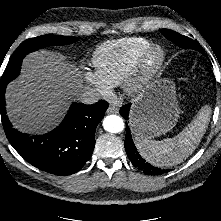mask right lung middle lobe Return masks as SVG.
Wrapping results in <instances>:
<instances>
[{
	"label": "right lung middle lobe",
	"mask_w": 221,
	"mask_h": 221,
	"mask_svg": "<svg viewBox=\"0 0 221 221\" xmlns=\"http://www.w3.org/2000/svg\"><path fill=\"white\" fill-rule=\"evenodd\" d=\"M77 39L72 36L43 35L36 38H30L20 44L11 56L8 65L1 78V84H8L16 78L21 69L23 58L30 52L36 51L49 45H67L75 42Z\"/></svg>",
	"instance_id": "dd1d6c3e"
}]
</instances>
